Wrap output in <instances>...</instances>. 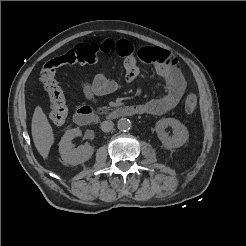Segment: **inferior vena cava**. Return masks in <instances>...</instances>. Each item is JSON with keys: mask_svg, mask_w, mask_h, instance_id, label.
I'll return each mask as SVG.
<instances>
[{"mask_svg": "<svg viewBox=\"0 0 246 246\" xmlns=\"http://www.w3.org/2000/svg\"><path fill=\"white\" fill-rule=\"evenodd\" d=\"M114 127V123L112 121H103L101 123V130L103 132H110Z\"/></svg>", "mask_w": 246, "mask_h": 246, "instance_id": "obj_1", "label": "inferior vena cava"}]
</instances>
